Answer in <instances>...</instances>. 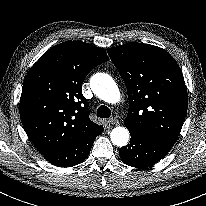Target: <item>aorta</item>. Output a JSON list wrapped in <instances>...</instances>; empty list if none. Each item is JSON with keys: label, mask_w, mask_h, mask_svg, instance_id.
Here are the masks:
<instances>
[{"label": "aorta", "mask_w": 206, "mask_h": 206, "mask_svg": "<svg viewBox=\"0 0 206 206\" xmlns=\"http://www.w3.org/2000/svg\"><path fill=\"white\" fill-rule=\"evenodd\" d=\"M91 88L101 100L108 103H117L120 100V91L111 76L105 73H97L91 78ZM129 131L125 127H116L110 134L111 141L118 147L127 145Z\"/></svg>", "instance_id": "762f6f07"}]
</instances>
